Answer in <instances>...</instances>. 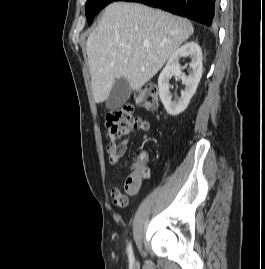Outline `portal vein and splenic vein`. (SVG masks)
<instances>
[{
  "mask_svg": "<svg viewBox=\"0 0 265 269\" xmlns=\"http://www.w3.org/2000/svg\"><path fill=\"white\" fill-rule=\"evenodd\" d=\"M127 48H128V49H131V47H130V46H128Z\"/></svg>",
  "mask_w": 265,
  "mask_h": 269,
  "instance_id": "18ae733b",
  "label": "portal vein and splenic vein"
}]
</instances>
